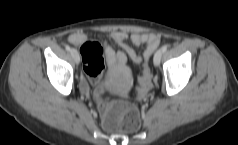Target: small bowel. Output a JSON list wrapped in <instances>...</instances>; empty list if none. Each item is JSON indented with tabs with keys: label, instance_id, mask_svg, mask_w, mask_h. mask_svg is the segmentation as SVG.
<instances>
[{
	"label": "small bowel",
	"instance_id": "obj_1",
	"mask_svg": "<svg viewBox=\"0 0 238 145\" xmlns=\"http://www.w3.org/2000/svg\"><path fill=\"white\" fill-rule=\"evenodd\" d=\"M109 36L123 49V51L114 52L113 49L109 45H107L105 42H101L103 56H105L107 62L110 65L125 64L128 57L136 64L145 62L144 70L148 74V62L154 50L159 44V38L156 34L144 33V32H133L131 34H128L127 32L122 30H113L110 32ZM68 39L71 43L75 45H82L84 42L88 40H95L81 32L72 33ZM127 39H130L131 43L136 46H140V45L145 46V51L143 53V56L138 54L129 44H127L126 42ZM140 86H141V91L145 92L149 88L150 82L146 81L144 83H141Z\"/></svg>",
	"mask_w": 238,
	"mask_h": 145
}]
</instances>
